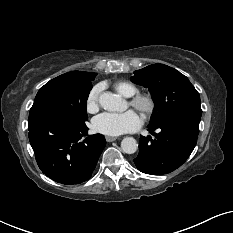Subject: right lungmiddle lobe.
Listing matches in <instances>:
<instances>
[{
  "label": "right lung middle lobe",
  "instance_id": "1",
  "mask_svg": "<svg viewBox=\"0 0 233 233\" xmlns=\"http://www.w3.org/2000/svg\"><path fill=\"white\" fill-rule=\"evenodd\" d=\"M96 73L72 71L60 75L38 91L30 109L29 120L38 116L60 115L74 121L85 122L87 98Z\"/></svg>",
  "mask_w": 233,
  "mask_h": 233
}]
</instances>
